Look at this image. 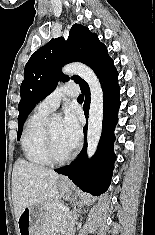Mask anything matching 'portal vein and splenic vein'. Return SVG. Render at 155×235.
<instances>
[{"label": "portal vein and splenic vein", "mask_w": 155, "mask_h": 235, "mask_svg": "<svg viewBox=\"0 0 155 235\" xmlns=\"http://www.w3.org/2000/svg\"><path fill=\"white\" fill-rule=\"evenodd\" d=\"M58 208L63 210V211H69V208L67 206H64V205H58Z\"/></svg>", "instance_id": "obj_1"}]
</instances>
